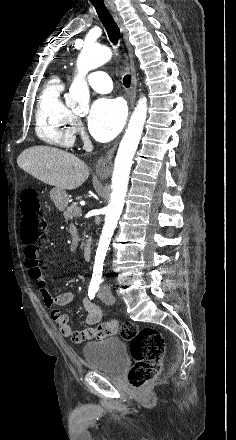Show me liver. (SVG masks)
Masks as SVG:
<instances>
[{
  "instance_id": "1",
  "label": "liver",
  "mask_w": 236,
  "mask_h": 440,
  "mask_svg": "<svg viewBox=\"0 0 236 440\" xmlns=\"http://www.w3.org/2000/svg\"><path fill=\"white\" fill-rule=\"evenodd\" d=\"M17 164L34 178L61 190L76 189L89 176V168L82 160L49 146L25 149L18 156Z\"/></svg>"
}]
</instances>
